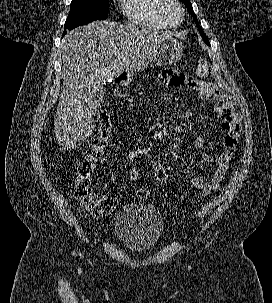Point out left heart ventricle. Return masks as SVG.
Returning a JSON list of instances; mask_svg holds the SVG:
<instances>
[{"label": "left heart ventricle", "mask_w": 272, "mask_h": 303, "mask_svg": "<svg viewBox=\"0 0 272 303\" xmlns=\"http://www.w3.org/2000/svg\"><path fill=\"white\" fill-rule=\"evenodd\" d=\"M166 14L168 19L173 23H176L180 18L178 9L173 5L168 6Z\"/></svg>", "instance_id": "left-heart-ventricle-1"}]
</instances>
